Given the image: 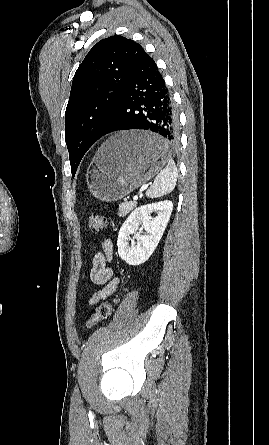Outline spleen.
Segmentation results:
<instances>
[{
    "instance_id": "obj_1",
    "label": "spleen",
    "mask_w": 269,
    "mask_h": 445,
    "mask_svg": "<svg viewBox=\"0 0 269 445\" xmlns=\"http://www.w3.org/2000/svg\"><path fill=\"white\" fill-rule=\"evenodd\" d=\"M165 146L168 147L167 142H165ZM177 176L178 172L174 161L168 159L167 166L157 174L153 184L147 190L146 196L158 198L172 192L176 186Z\"/></svg>"
}]
</instances>
